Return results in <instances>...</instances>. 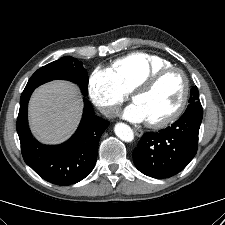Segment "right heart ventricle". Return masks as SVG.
Masks as SVG:
<instances>
[{"label": "right heart ventricle", "mask_w": 225, "mask_h": 225, "mask_svg": "<svg viewBox=\"0 0 225 225\" xmlns=\"http://www.w3.org/2000/svg\"><path fill=\"white\" fill-rule=\"evenodd\" d=\"M171 63L159 56L133 52L115 60L110 72L116 79L121 89L132 92L147 76Z\"/></svg>", "instance_id": "1"}]
</instances>
